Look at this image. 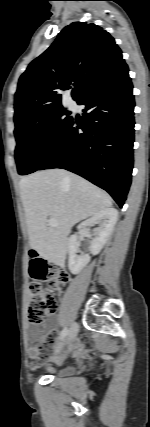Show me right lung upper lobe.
I'll return each mask as SVG.
<instances>
[{
	"label": "right lung upper lobe",
	"mask_w": 150,
	"mask_h": 427,
	"mask_svg": "<svg viewBox=\"0 0 150 427\" xmlns=\"http://www.w3.org/2000/svg\"><path fill=\"white\" fill-rule=\"evenodd\" d=\"M124 66L122 52L107 31L92 23L74 22L21 75L15 94L14 121L61 105L62 93L71 87L72 97L78 102Z\"/></svg>",
	"instance_id": "1"
}]
</instances>
